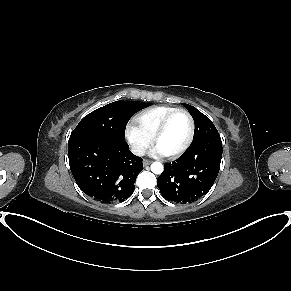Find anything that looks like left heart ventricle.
<instances>
[{"label": "left heart ventricle", "mask_w": 291, "mask_h": 291, "mask_svg": "<svg viewBox=\"0 0 291 291\" xmlns=\"http://www.w3.org/2000/svg\"><path fill=\"white\" fill-rule=\"evenodd\" d=\"M189 135V120L185 114L179 113L171 118L156 147L169 154L179 150L187 141Z\"/></svg>", "instance_id": "1"}]
</instances>
